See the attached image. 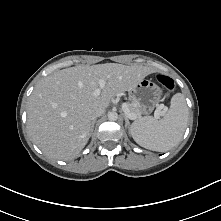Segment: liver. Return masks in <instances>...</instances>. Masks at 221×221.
Listing matches in <instances>:
<instances>
[{"label": "liver", "instance_id": "6515ba94", "mask_svg": "<svg viewBox=\"0 0 221 221\" xmlns=\"http://www.w3.org/2000/svg\"><path fill=\"white\" fill-rule=\"evenodd\" d=\"M154 69L117 63L76 66L42 79L27 107V127L35 144L51 158H75L87 144L96 109H106L110 100L132 89ZM106 84L99 96V80Z\"/></svg>", "mask_w": 221, "mask_h": 221}]
</instances>
